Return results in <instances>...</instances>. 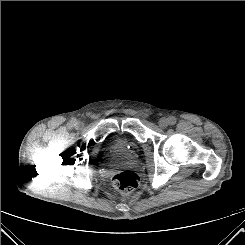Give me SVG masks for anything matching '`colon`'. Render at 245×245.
<instances>
[{
    "label": "colon",
    "mask_w": 245,
    "mask_h": 245,
    "mask_svg": "<svg viewBox=\"0 0 245 245\" xmlns=\"http://www.w3.org/2000/svg\"><path fill=\"white\" fill-rule=\"evenodd\" d=\"M112 183L115 189L128 194L138 187L139 177L131 170L119 171L113 175Z\"/></svg>",
    "instance_id": "colon-1"
}]
</instances>
